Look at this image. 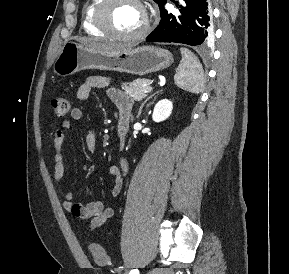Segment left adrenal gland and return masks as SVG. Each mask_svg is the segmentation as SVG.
Returning a JSON list of instances; mask_svg holds the SVG:
<instances>
[{
  "instance_id": "obj_1",
  "label": "left adrenal gland",
  "mask_w": 289,
  "mask_h": 274,
  "mask_svg": "<svg viewBox=\"0 0 289 274\" xmlns=\"http://www.w3.org/2000/svg\"><path fill=\"white\" fill-rule=\"evenodd\" d=\"M159 92H156V93H153L152 95H150L149 97L146 98V100L141 104L140 108H139V112H138V115L137 117H139L141 115V112H142V109L144 107V105L147 103V101L149 99H151L155 94H158Z\"/></svg>"
}]
</instances>
